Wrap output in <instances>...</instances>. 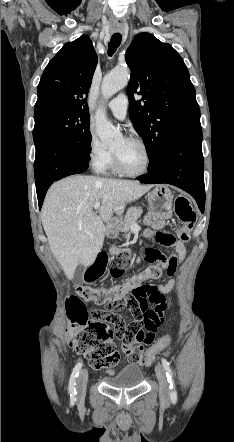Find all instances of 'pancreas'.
Here are the masks:
<instances>
[{"label":"pancreas","mask_w":234,"mask_h":442,"mask_svg":"<svg viewBox=\"0 0 234 442\" xmlns=\"http://www.w3.org/2000/svg\"><path fill=\"white\" fill-rule=\"evenodd\" d=\"M142 213L143 210L140 207L129 208L124 219L119 221L120 231L124 233L129 232L131 225L137 221ZM111 252H114V249H111Z\"/></svg>","instance_id":"1"}]
</instances>
